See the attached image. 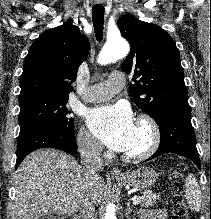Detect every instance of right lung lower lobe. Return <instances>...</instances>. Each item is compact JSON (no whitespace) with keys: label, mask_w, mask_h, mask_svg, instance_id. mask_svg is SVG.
Returning a JSON list of instances; mask_svg holds the SVG:
<instances>
[{"label":"right lung lower lobe","mask_w":211,"mask_h":219,"mask_svg":"<svg viewBox=\"0 0 211 219\" xmlns=\"http://www.w3.org/2000/svg\"><path fill=\"white\" fill-rule=\"evenodd\" d=\"M45 147L60 149L70 154L75 153L77 143L74 130L66 131L59 127L43 125L20 133L15 168L30 152Z\"/></svg>","instance_id":"1"}]
</instances>
